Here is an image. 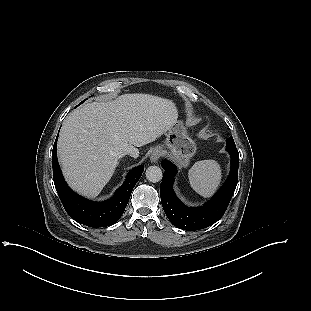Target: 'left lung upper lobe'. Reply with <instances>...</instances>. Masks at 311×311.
<instances>
[{"label":"left lung upper lobe","mask_w":311,"mask_h":311,"mask_svg":"<svg viewBox=\"0 0 311 311\" xmlns=\"http://www.w3.org/2000/svg\"><path fill=\"white\" fill-rule=\"evenodd\" d=\"M226 142H227L226 143V148L236 149V146H235V143H234V140H233L232 136L229 137Z\"/></svg>","instance_id":"5c2ea615"}]
</instances>
